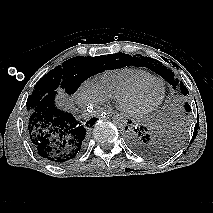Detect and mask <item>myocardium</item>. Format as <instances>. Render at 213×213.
Listing matches in <instances>:
<instances>
[{"label":"myocardium","mask_w":213,"mask_h":213,"mask_svg":"<svg viewBox=\"0 0 213 213\" xmlns=\"http://www.w3.org/2000/svg\"><path fill=\"white\" fill-rule=\"evenodd\" d=\"M157 80L161 84V95L159 99L151 104L140 106V107H132L129 105L130 100L139 92V90L149 81ZM166 94L165 82L164 80L157 75H150L145 78L140 79L131 85L128 89H126L118 98L117 105L118 108L129 116L140 117L147 115L154 110H156L163 102Z\"/></svg>","instance_id":"f54148a6"}]
</instances>
